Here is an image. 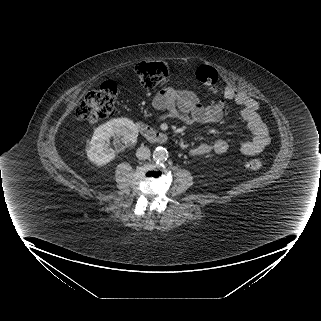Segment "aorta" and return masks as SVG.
<instances>
[{
  "label": "aorta",
  "mask_w": 321,
  "mask_h": 321,
  "mask_svg": "<svg viewBox=\"0 0 321 321\" xmlns=\"http://www.w3.org/2000/svg\"><path fill=\"white\" fill-rule=\"evenodd\" d=\"M153 158L157 161H165L168 158V151L164 147H156L153 151Z\"/></svg>",
  "instance_id": "1"
}]
</instances>
